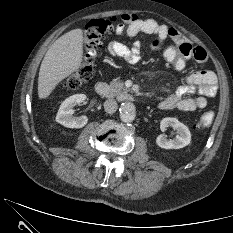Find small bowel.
Returning <instances> with one entry per match:
<instances>
[{
	"label": "small bowel",
	"instance_id": "small-bowel-1",
	"mask_svg": "<svg viewBox=\"0 0 233 233\" xmlns=\"http://www.w3.org/2000/svg\"><path fill=\"white\" fill-rule=\"evenodd\" d=\"M116 33L120 37L133 38L140 33L155 34L161 40L171 39L174 47L186 59H194L201 66H205L208 56L201 47L193 45L184 38L175 28L168 27L154 19L141 18L133 13L122 15V23L116 26ZM108 51L113 56L124 58L131 64L137 63L140 58V42L136 41L129 47L120 40L111 41ZM218 80L214 72L201 69L189 75L185 83L179 86L174 93L164 98L158 107L161 110L194 111L207 106V98L216 95ZM196 94L195 97L188 95Z\"/></svg>",
	"mask_w": 233,
	"mask_h": 233
}]
</instances>
